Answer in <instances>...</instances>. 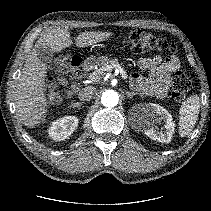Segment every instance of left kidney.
<instances>
[{
    "mask_svg": "<svg viewBox=\"0 0 211 211\" xmlns=\"http://www.w3.org/2000/svg\"><path fill=\"white\" fill-rule=\"evenodd\" d=\"M149 113L145 115V134L158 142L169 143L172 139L175 123L173 122L171 114L158 104L150 103L148 105ZM164 121V131H158L157 124Z\"/></svg>",
    "mask_w": 211,
    "mask_h": 211,
    "instance_id": "left-kidney-1",
    "label": "left kidney"
}]
</instances>
